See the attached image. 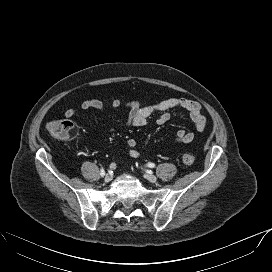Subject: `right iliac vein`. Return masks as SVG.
Masks as SVG:
<instances>
[{
	"instance_id": "obj_1",
	"label": "right iliac vein",
	"mask_w": 272,
	"mask_h": 272,
	"mask_svg": "<svg viewBox=\"0 0 272 272\" xmlns=\"http://www.w3.org/2000/svg\"><path fill=\"white\" fill-rule=\"evenodd\" d=\"M112 180V174L111 173H107L104 177V181L105 182H110Z\"/></svg>"
}]
</instances>
